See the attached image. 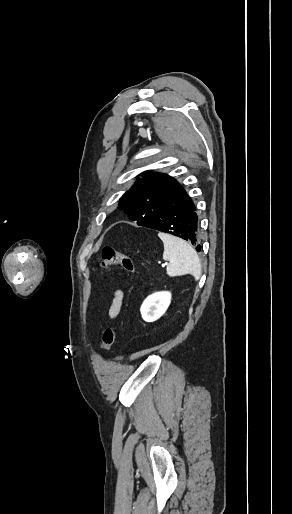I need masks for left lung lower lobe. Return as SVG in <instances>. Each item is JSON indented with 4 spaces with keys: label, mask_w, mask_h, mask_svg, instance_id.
I'll list each match as a JSON object with an SVG mask.
<instances>
[{
    "label": "left lung lower lobe",
    "mask_w": 292,
    "mask_h": 514,
    "mask_svg": "<svg viewBox=\"0 0 292 514\" xmlns=\"http://www.w3.org/2000/svg\"><path fill=\"white\" fill-rule=\"evenodd\" d=\"M198 215L192 199L181 187L164 205L160 214L145 227L170 233L201 250Z\"/></svg>",
    "instance_id": "left-lung-lower-lobe-1"
}]
</instances>
